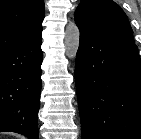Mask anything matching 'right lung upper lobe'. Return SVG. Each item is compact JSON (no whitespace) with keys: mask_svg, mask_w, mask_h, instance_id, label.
<instances>
[{"mask_svg":"<svg viewBox=\"0 0 141 139\" xmlns=\"http://www.w3.org/2000/svg\"><path fill=\"white\" fill-rule=\"evenodd\" d=\"M43 0H0V50L41 36Z\"/></svg>","mask_w":141,"mask_h":139,"instance_id":"obj_1","label":"right lung upper lobe"}]
</instances>
